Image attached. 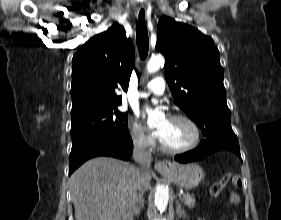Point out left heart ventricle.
<instances>
[{
    "mask_svg": "<svg viewBox=\"0 0 281 220\" xmlns=\"http://www.w3.org/2000/svg\"><path fill=\"white\" fill-rule=\"evenodd\" d=\"M158 130L162 131L161 141L169 148H180L190 144L193 140V130L184 121L164 120Z\"/></svg>",
    "mask_w": 281,
    "mask_h": 220,
    "instance_id": "b2bd125f",
    "label": "left heart ventricle"
}]
</instances>
